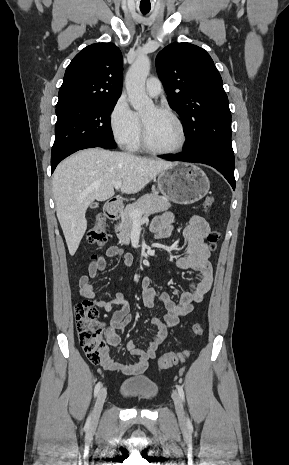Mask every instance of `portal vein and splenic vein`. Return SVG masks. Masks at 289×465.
<instances>
[{
	"label": "portal vein and splenic vein",
	"instance_id": "18ae733b",
	"mask_svg": "<svg viewBox=\"0 0 289 465\" xmlns=\"http://www.w3.org/2000/svg\"><path fill=\"white\" fill-rule=\"evenodd\" d=\"M122 186V182L121 181H118L115 183L114 187L116 190L120 189ZM131 218L133 219L134 222H140L141 221V218H142V213L139 212V211H133L131 213Z\"/></svg>",
	"mask_w": 289,
	"mask_h": 465
}]
</instances>
